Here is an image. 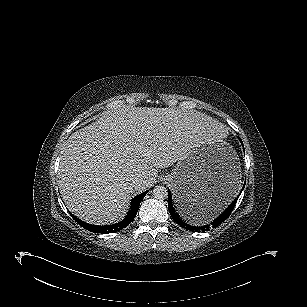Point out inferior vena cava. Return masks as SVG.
Listing matches in <instances>:
<instances>
[{
  "mask_svg": "<svg viewBox=\"0 0 307 307\" xmlns=\"http://www.w3.org/2000/svg\"><path fill=\"white\" fill-rule=\"evenodd\" d=\"M142 183H144V180L142 179H133L130 183V185L133 187V188H137L138 186H140Z\"/></svg>",
  "mask_w": 307,
  "mask_h": 307,
  "instance_id": "obj_1",
  "label": "inferior vena cava"
}]
</instances>
